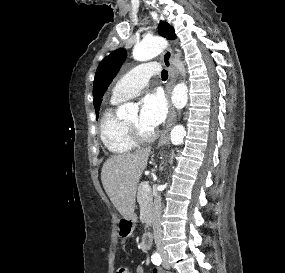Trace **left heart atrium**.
Wrapping results in <instances>:
<instances>
[{"label":"left heart atrium","instance_id":"obj_1","mask_svg":"<svg viewBox=\"0 0 285 273\" xmlns=\"http://www.w3.org/2000/svg\"><path fill=\"white\" fill-rule=\"evenodd\" d=\"M166 115L167 104L161 92L154 91L142 98L139 112L141 126L154 130L163 123Z\"/></svg>","mask_w":285,"mask_h":273}]
</instances>
